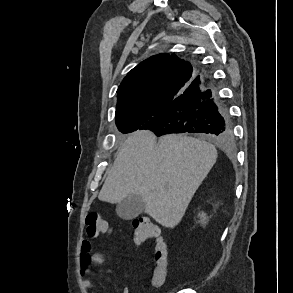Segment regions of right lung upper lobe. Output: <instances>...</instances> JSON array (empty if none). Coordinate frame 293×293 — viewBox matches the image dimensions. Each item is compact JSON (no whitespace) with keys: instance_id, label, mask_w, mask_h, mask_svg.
<instances>
[{"instance_id":"cb5924a9","label":"right lung upper lobe","mask_w":293,"mask_h":293,"mask_svg":"<svg viewBox=\"0 0 293 293\" xmlns=\"http://www.w3.org/2000/svg\"><path fill=\"white\" fill-rule=\"evenodd\" d=\"M196 73L189 62L175 55L159 54L146 59L119 86L116 116L141 108L153 110V117L158 115L168 109Z\"/></svg>"}]
</instances>
